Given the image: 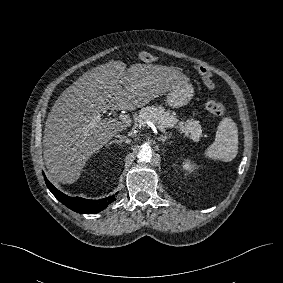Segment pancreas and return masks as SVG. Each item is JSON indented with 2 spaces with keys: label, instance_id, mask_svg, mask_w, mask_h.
<instances>
[{
  "label": "pancreas",
  "instance_id": "obj_1",
  "mask_svg": "<svg viewBox=\"0 0 283 283\" xmlns=\"http://www.w3.org/2000/svg\"><path fill=\"white\" fill-rule=\"evenodd\" d=\"M136 120L141 126L145 125L146 121H152L163 128H179L184 131L186 136L191 137L193 140H198L202 133L198 120L193 118L179 120L175 112L165 111L163 106L142 108Z\"/></svg>",
  "mask_w": 283,
  "mask_h": 283
}]
</instances>
